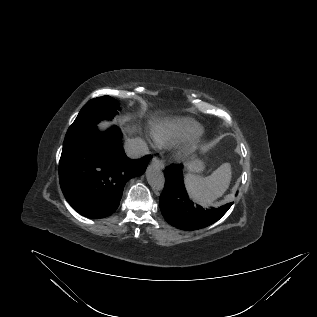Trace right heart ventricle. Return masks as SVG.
Returning a JSON list of instances; mask_svg holds the SVG:
<instances>
[{"mask_svg":"<svg viewBox=\"0 0 317 317\" xmlns=\"http://www.w3.org/2000/svg\"><path fill=\"white\" fill-rule=\"evenodd\" d=\"M201 126L188 118L157 121L152 126V137L159 145L171 146L198 137Z\"/></svg>","mask_w":317,"mask_h":317,"instance_id":"e07e8e85","label":"right heart ventricle"}]
</instances>
